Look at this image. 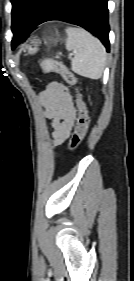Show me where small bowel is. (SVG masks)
Listing matches in <instances>:
<instances>
[{
	"label": "small bowel",
	"instance_id": "obj_1",
	"mask_svg": "<svg viewBox=\"0 0 134 281\" xmlns=\"http://www.w3.org/2000/svg\"><path fill=\"white\" fill-rule=\"evenodd\" d=\"M45 117L50 121L54 147L61 145L71 134L76 121V108L67 87L50 83L40 96Z\"/></svg>",
	"mask_w": 134,
	"mask_h": 281
}]
</instances>
